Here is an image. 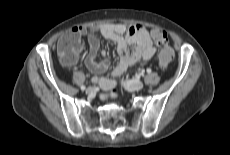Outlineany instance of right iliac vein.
<instances>
[{
    "instance_id": "right-iliac-vein-1",
    "label": "right iliac vein",
    "mask_w": 230,
    "mask_h": 155,
    "mask_svg": "<svg viewBox=\"0 0 230 155\" xmlns=\"http://www.w3.org/2000/svg\"><path fill=\"white\" fill-rule=\"evenodd\" d=\"M94 92V88L93 87H88V88H86V93L87 94H91V93H93Z\"/></svg>"
}]
</instances>
